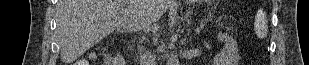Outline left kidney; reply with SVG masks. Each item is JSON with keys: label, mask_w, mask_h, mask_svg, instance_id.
<instances>
[{"label": "left kidney", "mask_w": 309, "mask_h": 65, "mask_svg": "<svg viewBox=\"0 0 309 65\" xmlns=\"http://www.w3.org/2000/svg\"><path fill=\"white\" fill-rule=\"evenodd\" d=\"M218 41L224 42V47L214 58V65H238L241 59L237 41L227 33H219Z\"/></svg>", "instance_id": "5707ae66"}]
</instances>
